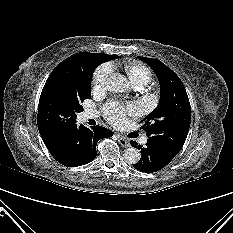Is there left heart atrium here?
<instances>
[{
	"mask_svg": "<svg viewBox=\"0 0 233 233\" xmlns=\"http://www.w3.org/2000/svg\"><path fill=\"white\" fill-rule=\"evenodd\" d=\"M140 112V108L135 103H108L104 108V113L107 119L116 126L123 125L127 119V116H135Z\"/></svg>",
	"mask_w": 233,
	"mask_h": 233,
	"instance_id": "39dd6f15",
	"label": "left heart atrium"
}]
</instances>
